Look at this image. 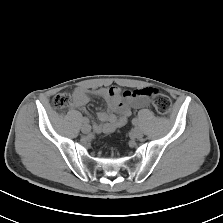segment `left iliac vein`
I'll return each instance as SVG.
<instances>
[{
  "label": "left iliac vein",
  "mask_w": 223,
  "mask_h": 223,
  "mask_svg": "<svg viewBox=\"0 0 223 223\" xmlns=\"http://www.w3.org/2000/svg\"><path fill=\"white\" fill-rule=\"evenodd\" d=\"M132 137L140 139L143 136V132L140 128L136 127L131 132Z\"/></svg>",
  "instance_id": "1"
}]
</instances>
